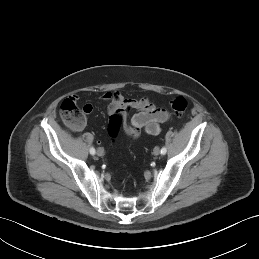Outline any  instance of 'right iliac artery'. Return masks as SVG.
Here are the masks:
<instances>
[{"instance_id": "82829eb1", "label": "right iliac artery", "mask_w": 259, "mask_h": 259, "mask_svg": "<svg viewBox=\"0 0 259 259\" xmlns=\"http://www.w3.org/2000/svg\"><path fill=\"white\" fill-rule=\"evenodd\" d=\"M90 153H91L92 155L95 154V149H94L93 147L90 148Z\"/></svg>"}]
</instances>
